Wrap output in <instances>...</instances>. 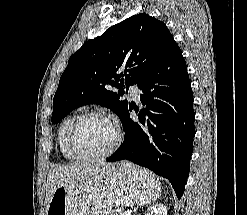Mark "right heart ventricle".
Wrapping results in <instances>:
<instances>
[{"label": "right heart ventricle", "instance_id": "e07e8e85", "mask_svg": "<svg viewBox=\"0 0 247 215\" xmlns=\"http://www.w3.org/2000/svg\"><path fill=\"white\" fill-rule=\"evenodd\" d=\"M76 118L75 115L68 116L65 118L59 125L58 128V133H57V142H58V147L61 152V155L63 156L64 159L68 161H75L77 160L74 158L68 148V143H67V135H68V130L73 122V120Z\"/></svg>", "mask_w": 247, "mask_h": 215}]
</instances>
